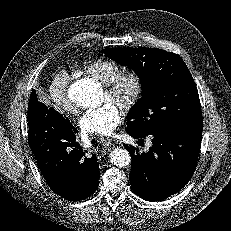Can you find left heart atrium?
<instances>
[{
	"instance_id": "obj_1",
	"label": "left heart atrium",
	"mask_w": 231,
	"mask_h": 231,
	"mask_svg": "<svg viewBox=\"0 0 231 231\" xmlns=\"http://www.w3.org/2000/svg\"><path fill=\"white\" fill-rule=\"evenodd\" d=\"M122 117L119 105L108 101L99 108L87 111L79 125L85 133L107 136L121 123Z\"/></svg>"
}]
</instances>
